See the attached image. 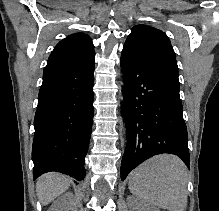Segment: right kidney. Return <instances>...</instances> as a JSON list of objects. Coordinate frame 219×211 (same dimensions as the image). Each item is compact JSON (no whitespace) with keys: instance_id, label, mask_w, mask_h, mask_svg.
<instances>
[{"instance_id":"1","label":"right kidney","mask_w":219,"mask_h":211,"mask_svg":"<svg viewBox=\"0 0 219 211\" xmlns=\"http://www.w3.org/2000/svg\"><path fill=\"white\" fill-rule=\"evenodd\" d=\"M69 197L68 195H60L53 201L48 211H68Z\"/></svg>"}]
</instances>
